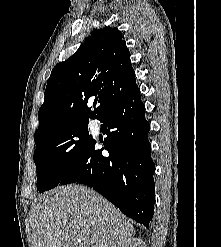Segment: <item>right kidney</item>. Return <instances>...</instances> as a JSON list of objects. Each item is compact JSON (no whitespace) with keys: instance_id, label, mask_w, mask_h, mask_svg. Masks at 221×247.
I'll return each instance as SVG.
<instances>
[{"instance_id":"ca27d5eb","label":"right kidney","mask_w":221,"mask_h":247,"mask_svg":"<svg viewBox=\"0 0 221 247\" xmlns=\"http://www.w3.org/2000/svg\"><path fill=\"white\" fill-rule=\"evenodd\" d=\"M112 247H145V243L141 239L129 237L120 240Z\"/></svg>"}]
</instances>
